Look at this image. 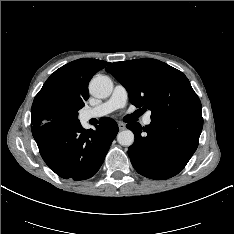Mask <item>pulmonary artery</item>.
Listing matches in <instances>:
<instances>
[{
    "label": "pulmonary artery",
    "mask_w": 234,
    "mask_h": 234,
    "mask_svg": "<svg viewBox=\"0 0 234 234\" xmlns=\"http://www.w3.org/2000/svg\"><path fill=\"white\" fill-rule=\"evenodd\" d=\"M128 100L127 90L120 84L114 87V90L105 102L84 111L83 119L90 120L92 118H100L108 115L109 113L123 108ZM151 123V114L147 113L143 118V124L149 125Z\"/></svg>",
    "instance_id": "obj_1"
}]
</instances>
